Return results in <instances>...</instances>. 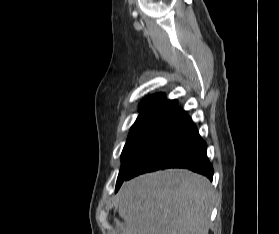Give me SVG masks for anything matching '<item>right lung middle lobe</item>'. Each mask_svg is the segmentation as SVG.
I'll return each instance as SVG.
<instances>
[{"instance_id":"1","label":"right lung middle lobe","mask_w":279,"mask_h":234,"mask_svg":"<svg viewBox=\"0 0 279 234\" xmlns=\"http://www.w3.org/2000/svg\"><path fill=\"white\" fill-rule=\"evenodd\" d=\"M173 108H159L141 111L132 126L121 154V169L116 183V191L121 186L129 168L142 146Z\"/></svg>"}]
</instances>
